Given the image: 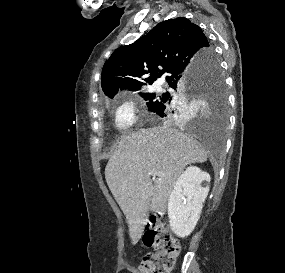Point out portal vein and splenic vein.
<instances>
[{
	"instance_id": "portal-vein-and-splenic-vein-1",
	"label": "portal vein and splenic vein",
	"mask_w": 285,
	"mask_h": 273,
	"mask_svg": "<svg viewBox=\"0 0 285 273\" xmlns=\"http://www.w3.org/2000/svg\"><path fill=\"white\" fill-rule=\"evenodd\" d=\"M149 174H150L151 176H153V177H156V176H163V174H162L161 172H158V171H156V170L151 171Z\"/></svg>"
}]
</instances>
